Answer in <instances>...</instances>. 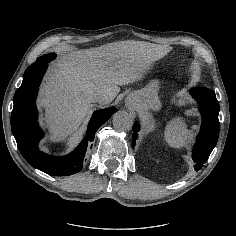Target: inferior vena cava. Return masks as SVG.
<instances>
[{"label":"inferior vena cava","mask_w":236,"mask_h":236,"mask_svg":"<svg viewBox=\"0 0 236 236\" xmlns=\"http://www.w3.org/2000/svg\"><path fill=\"white\" fill-rule=\"evenodd\" d=\"M112 100L111 94H105L102 90H99L95 93L92 98V101H97L103 104H106Z\"/></svg>","instance_id":"inferior-vena-cava-1"}]
</instances>
